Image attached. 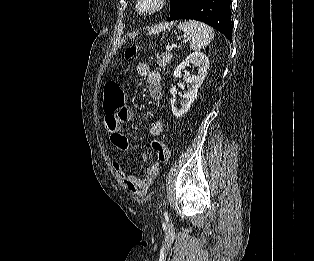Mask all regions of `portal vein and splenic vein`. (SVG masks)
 <instances>
[{
    "label": "portal vein and splenic vein",
    "mask_w": 314,
    "mask_h": 261,
    "mask_svg": "<svg viewBox=\"0 0 314 261\" xmlns=\"http://www.w3.org/2000/svg\"><path fill=\"white\" fill-rule=\"evenodd\" d=\"M166 49H167L168 51H171V50H172V46H169V45H168V46L166 47Z\"/></svg>",
    "instance_id": "1"
}]
</instances>
